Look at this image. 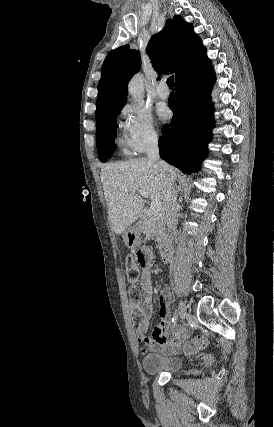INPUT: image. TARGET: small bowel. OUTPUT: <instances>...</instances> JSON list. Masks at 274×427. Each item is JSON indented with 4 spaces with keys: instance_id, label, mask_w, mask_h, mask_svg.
<instances>
[{
    "instance_id": "1",
    "label": "small bowel",
    "mask_w": 274,
    "mask_h": 427,
    "mask_svg": "<svg viewBox=\"0 0 274 427\" xmlns=\"http://www.w3.org/2000/svg\"><path fill=\"white\" fill-rule=\"evenodd\" d=\"M146 255V263L141 268L140 276L136 283L139 284L142 293L141 317L136 323V333L138 335L141 349L144 353L159 352L165 354H177L181 351L183 344L190 336L188 329L168 332L167 327L171 320L169 309V295L162 292L159 295V317L160 322L153 330L151 337H145L144 334L150 327V320L153 312V284L150 273L153 253L150 248L143 250Z\"/></svg>"
}]
</instances>
